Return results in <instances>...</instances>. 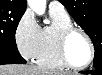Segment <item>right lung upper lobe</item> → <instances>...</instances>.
I'll return each instance as SVG.
<instances>
[{
  "instance_id": "cb5924a9",
  "label": "right lung upper lobe",
  "mask_w": 102,
  "mask_h": 75,
  "mask_svg": "<svg viewBox=\"0 0 102 75\" xmlns=\"http://www.w3.org/2000/svg\"><path fill=\"white\" fill-rule=\"evenodd\" d=\"M0 8L25 10L26 0H0Z\"/></svg>"
}]
</instances>
